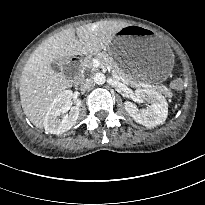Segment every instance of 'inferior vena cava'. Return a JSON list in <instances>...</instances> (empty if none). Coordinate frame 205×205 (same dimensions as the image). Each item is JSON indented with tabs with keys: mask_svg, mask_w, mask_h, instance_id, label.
I'll use <instances>...</instances> for the list:
<instances>
[{
	"mask_svg": "<svg viewBox=\"0 0 205 205\" xmlns=\"http://www.w3.org/2000/svg\"><path fill=\"white\" fill-rule=\"evenodd\" d=\"M93 85V80L91 78H87L83 81L81 89L88 90Z\"/></svg>",
	"mask_w": 205,
	"mask_h": 205,
	"instance_id": "inferior-vena-cava-1",
	"label": "inferior vena cava"
}]
</instances>
